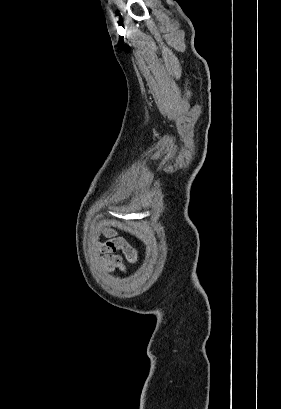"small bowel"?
<instances>
[{
	"label": "small bowel",
	"mask_w": 281,
	"mask_h": 409,
	"mask_svg": "<svg viewBox=\"0 0 281 409\" xmlns=\"http://www.w3.org/2000/svg\"><path fill=\"white\" fill-rule=\"evenodd\" d=\"M94 232H97V229H94ZM105 235L110 239L106 242H99L95 239L94 245L99 251L103 252L102 261L106 269L109 272L116 270L126 272V266L123 263L122 257L116 254L118 250L123 251L126 255L130 266H135L136 259H138L140 255L139 251L133 250L130 243H127L122 238L116 237V234L109 229L105 230Z\"/></svg>",
	"instance_id": "obj_1"
}]
</instances>
